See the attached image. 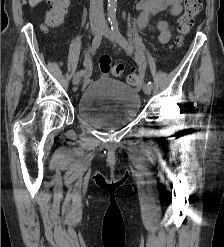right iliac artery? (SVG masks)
Masks as SVG:
<instances>
[{
  "label": "right iliac artery",
  "mask_w": 224,
  "mask_h": 247,
  "mask_svg": "<svg viewBox=\"0 0 224 247\" xmlns=\"http://www.w3.org/2000/svg\"><path fill=\"white\" fill-rule=\"evenodd\" d=\"M103 32L100 31L97 35H95L93 42H92V50L93 52L96 51V49L100 46L101 40H102ZM90 73V69L86 68L84 70L80 71L81 76L88 75Z\"/></svg>",
  "instance_id": "1"
}]
</instances>
